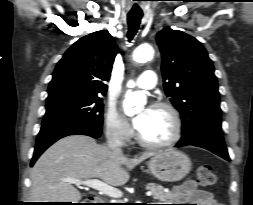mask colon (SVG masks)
<instances>
[{"instance_id": "colon-1", "label": "colon", "mask_w": 253, "mask_h": 205, "mask_svg": "<svg viewBox=\"0 0 253 205\" xmlns=\"http://www.w3.org/2000/svg\"><path fill=\"white\" fill-rule=\"evenodd\" d=\"M198 184L201 188H208L215 185L217 177L210 164L202 163L197 169Z\"/></svg>"}]
</instances>
